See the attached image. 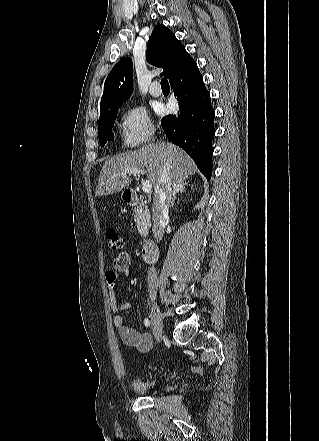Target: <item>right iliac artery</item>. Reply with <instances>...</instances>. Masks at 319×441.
<instances>
[{
	"instance_id": "right-iliac-artery-1",
	"label": "right iliac artery",
	"mask_w": 319,
	"mask_h": 441,
	"mask_svg": "<svg viewBox=\"0 0 319 441\" xmlns=\"http://www.w3.org/2000/svg\"><path fill=\"white\" fill-rule=\"evenodd\" d=\"M144 324H145V326H147V327H149L150 326V321H149V319H144Z\"/></svg>"
}]
</instances>
